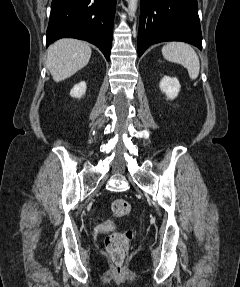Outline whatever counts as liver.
<instances>
[{
    "label": "liver",
    "mask_w": 240,
    "mask_h": 287,
    "mask_svg": "<svg viewBox=\"0 0 240 287\" xmlns=\"http://www.w3.org/2000/svg\"><path fill=\"white\" fill-rule=\"evenodd\" d=\"M91 57L90 46L76 39H60L49 46L46 66L53 80L60 82L85 67Z\"/></svg>",
    "instance_id": "liver-1"
}]
</instances>
